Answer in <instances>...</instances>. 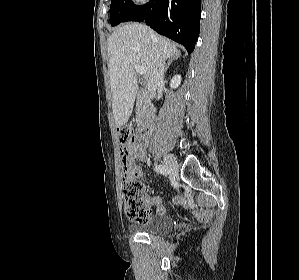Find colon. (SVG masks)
<instances>
[{"mask_svg": "<svg viewBox=\"0 0 299 280\" xmlns=\"http://www.w3.org/2000/svg\"><path fill=\"white\" fill-rule=\"evenodd\" d=\"M118 138L120 142L123 165L122 195L124 211L130 221L136 223H145L151 215V210L142 200V183L130 176L128 167L127 146L136 138V132L131 126H122L118 128Z\"/></svg>", "mask_w": 299, "mask_h": 280, "instance_id": "colon-1", "label": "colon"}]
</instances>
